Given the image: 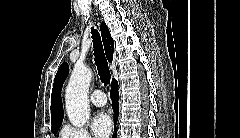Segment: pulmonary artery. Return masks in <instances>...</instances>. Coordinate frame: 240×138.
Returning a JSON list of instances; mask_svg holds the SVG:
<instances>
[{"label":"pulmonary artery","mask_w":240,"mask_h":138,"mask_svg":"<svg viewBox=\"0 0 240 138\" xmlns=\"http://www.w3.org/2000/svg\"><path fill=\"white\" fill-rule=\"evenodd\" d=\"M92 103L97 107H103L106 105L107 100L105 94L101 90H95L90 96Z\"/></svg>","instance_id":"e3ab8cb5"}]
</instances>
